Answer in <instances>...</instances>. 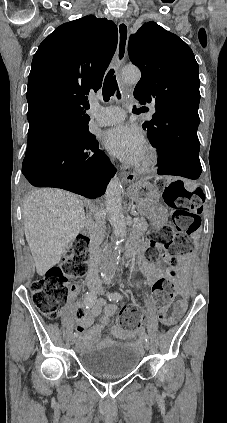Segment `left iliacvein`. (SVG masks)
Wrapping results in <instances>:
<instances>
[{
    "instance_id": "obj_1",
    "label": "left iliac vein",
    "mask_w": 227,
    "mask_h": 423,
    "mask_svg": "<svg viewBox=\"0 0 227 423\" xmlns=\"http://www.w3.org/2000/svg\"><path fill=\"white\" fill-rule=\"evenodd\" d=\"M97 293L98 294H104V291L102 290V289H97ZM144 346H145V349H147V350H149L150 349V343L149 342H146L145 341V343H144Z\"/></svg>"
}]
</instances>
